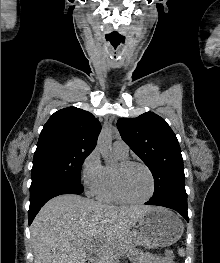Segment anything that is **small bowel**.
Masks as SVG:
<instances>
[{"instance_id":"c3829d8e","label":"small bowel","mask_w":220,"mask_h":263,"mask_svg":"<svg viewBox=\"0 0 220 263\" xmlns=\"http://www.w3.org/2000/svg\"><path fill=\"white\" fill-rule=\"evenodd\" d=\"M141 263H170L165 257H159L153 254H146Z\"/></svg>"}]
</instances>
